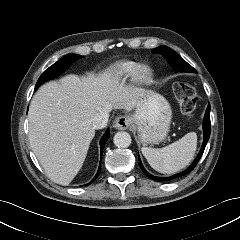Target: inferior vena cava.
I'll use <instances>...</instances> for the list:
<instances>
[{
	"instance_id": "obj_1",
	"label": "inferior vena cava",
	"mask_w": 240,
	"mask_h": 240,
	"mask_svg": "<svg viewBox=\"0 0 240 240\" xmlns=\"http://www.w3.org/2000/svg\"><path fill=\"white\" fill-rule=\"evenodd\" d=\"M109 113L108 112H101L97 113L92 118V126L94 129H102L107 125Z\"/></svg>"
}]
</instances>
